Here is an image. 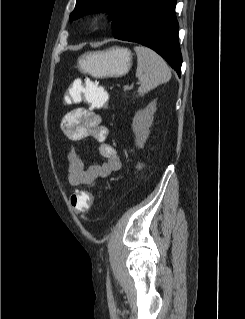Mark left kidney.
<instances>
[{"instance_id": "5707ae66", "label": "left kidney", "mask_w": 245, "mask_h": 319, "mask_svg": "<svg viewBox=\"0 0 245 319\" xmlns=\"http://www.w3.org/2000/svg\"><path fill=\"white\" fill-rule=\"evenodd\" d=\"M156 104V100L152 101L145 109L137 111L133 118L132 128L135 134V144L139 148L144 147V144L149 137V128L153 123Z\"/></svg>"}]
</instances>
